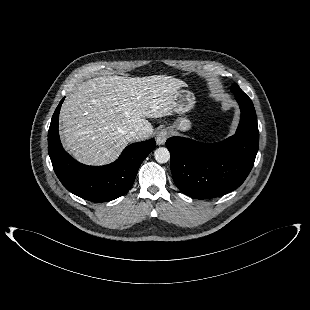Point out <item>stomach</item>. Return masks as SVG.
Returning <instances> with one entry per match:
<instances>
[{
    "instance_id": "obj_1",
    "label": "stomach",
    "mask_w": 310,
    "mask_h": 310,
    "mask_svg": "<svg viewBox=\"0 0 310 310\" xmlns=\"http://www.w3.org/2000/svg\"><path fill=\"white\" fill-rule=\"evenodd\" d=\"M196 98L194 94L187 89H179L174 97V111L179 114H184L189 112L196 103ZM176 127L181 131H186L190 129L191 122L186 118H180Z\"/></svg>"
}]
</instances>
